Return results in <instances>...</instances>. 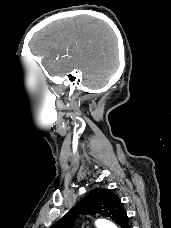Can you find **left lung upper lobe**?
Instances as JSON below:
<instances>
[{
	"mask_svg": "<svg viewBox=\"0 0 171 228\" xmlns=\"http://www.w3.org/2000/svg\"><path fill=\"white\" fill-rule=\"evenodd\" d=\"M96 212L109 217L121 228L127 224L128 217L119 197L107 189H94L51 228H72L77 215Z\"/></svg>",
	"mask_w": 171,
	"mask_h": 228,
	"instance_id": "5c2ea615",
	"label": "left lung upper lobe"
}]
</instances>
